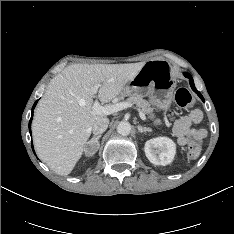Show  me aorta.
<instances>
[{"label":"aorta","instance_id":"762f6f07","mask_svg":"<svg viewBox=\"0 0 234 234\" xmlns=\"http://www.w3.org/2000/svg\"><path fill=\"white\" fill-rule=\"evenodd\" d=\"M117 132L120 135L127 136L131 132V125L127 121H121L117 126Z\"/></svg>","mask_w":234,"mask_h":234}]
</instances>
